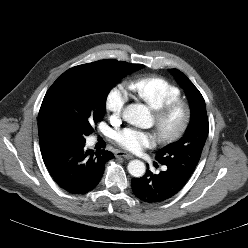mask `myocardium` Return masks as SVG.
Instances as JSON below:
<instances>
[{
	"label": "myocardium",
	"instance_id": "f54148a6",
	"mask_svg": "<svg viewBox=\"0 0 248 248\" xmlns=\"http://www.w3.org/2000/svg\"><path fill=\"white\" fill-rule=\"evenodd\" d=\"M182 111V121L172 132H165L164 124L176 111ZM192 117L191 106L183 99H175L154 110L155 129L159 140L164 144L174 143L188 130Z\"/></svg>",
	"mask_w": 248,
	"mask_h": 248
}]
</instances>
